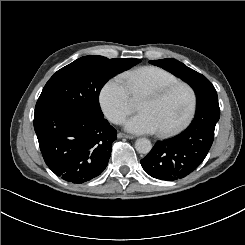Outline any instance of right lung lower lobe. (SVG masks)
<instances>
[{"mask_svg":"<svg viewBox=\"0 0 245 245\" xmlns=\"http://www.w3.org/2000/svg\"><path fill=\"white\" fill-rule=\"evenodd\" d=\"M34 129L47 166L72 183L100 175L117 139L106 119L62 108L35 113Z\"/></svg>","mask_w":245,"mask_h":245,"instance_id":"1","label":"right lung lower lobe"}]
</instances>
